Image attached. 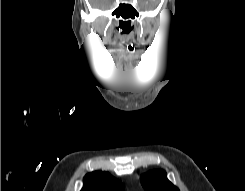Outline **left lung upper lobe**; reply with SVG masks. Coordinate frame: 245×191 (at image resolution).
Wrapping results in <instances>:
<instances>
[{"label":"left lung upper lobe","mask_w":245,"mask_h":191,"mask_svg":"<svg viewBox=\"0 0 245 191\" xmlns=\"http://www.w3.org/2000/svg\"><path fill=\"white\" fill-rule=\"evenodd\" d=\"M141 183L146 191H179L166 177L162 170H153L141 176Z\"/></svg>","instance_id":"1"}]
</instances>
